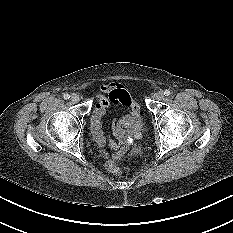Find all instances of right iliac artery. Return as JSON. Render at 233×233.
<instances>
[{"label":"right iliac artery","instance_id":"1","mask_svg":"<svg viewBox=\"0 0 233 233\" xmlns=\"http://www.w3.org/2000/svg\"><path fill=\"white\" fill-rule=\"evenodd\" d=\"M63 97H64V99L68 100L70 98V95L66 93V94H64Z\"/></svg>","mask_w":233,"mask_h":233}]
</instances>
